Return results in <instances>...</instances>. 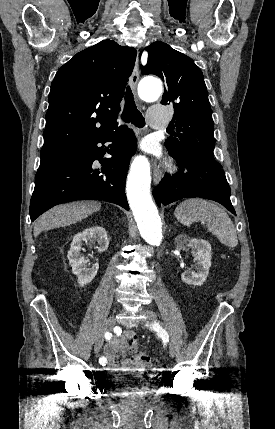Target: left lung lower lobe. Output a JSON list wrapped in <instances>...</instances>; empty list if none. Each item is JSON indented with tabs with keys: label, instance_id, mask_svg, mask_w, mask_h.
Masks as SVG:
<instances>
[{
	"label": "left lung lower lobe",
	"instance_id": "obj_1",
	"mask_svg": "<svg viewBox=\"0 0 275 429\" xmlns=\"http://www.w3.org/2000/svg\"><path fill=\"white\" fill-rule=\"evenodd\" d=\"M171 155L178 162L180 172L174 176L165 175L154 188L153 196L159 207L182 198L202 197L219 202L236 215L224 170L214 157L206 154Z\"/></svg>",
	"mask_w": 275,
	"mask_h": 429
}]
</instances>
